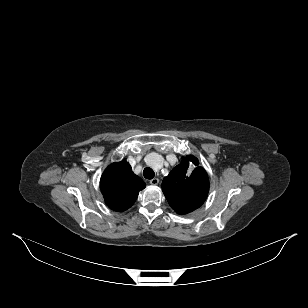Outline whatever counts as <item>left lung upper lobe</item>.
Listing matches in <instances>:
<instances>
[{
  "instance_id": "left-lung-upper-lobe-1",
  "label": "left lung upper lobe",
  "mask_w": 308,
  "mask_h": 308,
  "mask_svg": "<svg viewBox=\"0 0 308 308\" xmlns=\"http://www.w3.org/2000/svg\"><path fill=\"white\" fill-rule=\"evenodd\" d=\"M190 163L198 165L194 156H187L163 179L162 191L170 206L180 215L199 208L207 198L209 180L202 167L190 173Z\"/></svg>"
}]
</instances>
